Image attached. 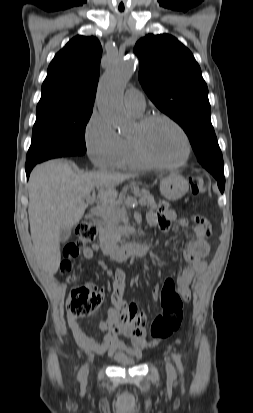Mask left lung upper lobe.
<instances>
[{"mask_svg":"<svg viewBox=\"0 0 253 413\" xmlns=\"http://www.w3.org/2000/svg\"><path fill=\"white\" fill-rule=\"evenodd\" d=\"M134 52L148 97L184 129L205 169L224 170L210 119L208 88L190 50L169 34H148L136 43Z\"/></svg>","mask_w":253,"mask_h":413,"instance_id":"1","label":"left lung upper lobe"}]
</instances>
